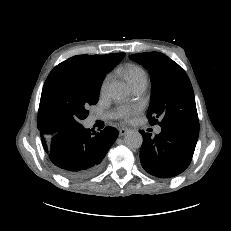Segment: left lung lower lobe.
I'll return each instance as SVG.
<instances>
[{"label":"left lung lower lobe","instance_id":"1","mask_svg":"<svg viewBox=\"0 0 231 231\" xmlns=\"http://www.w3.org/2000/svg\"><path fill=\"white\" fill-rule=\"evenodd\" d=\"M154 138L140 131L142 167L159 178H171L182 173L190 164L199 136V129L163 126Z\"/></svg>","mask_w":231,"mask_h":231}]
</instances>
